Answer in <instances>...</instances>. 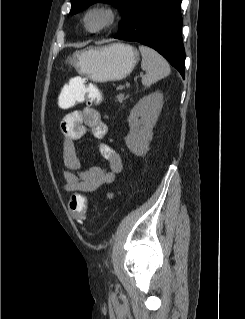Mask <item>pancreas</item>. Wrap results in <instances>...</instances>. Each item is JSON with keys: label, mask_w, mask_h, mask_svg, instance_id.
I'll return each instance as SVG.
<instances>
[{"label": "pancreas", "mask_w": 245, "mask_h": 319, "mask_svg": "<svg viewBox=\"0 0 245 319\" xmlns=\"http://www.w3.org/2000/svg\"><path fill=\"white\" fill-rule=\"evenodd\" d=\"M116 99H117L116 101L122 102L124 100V95H121V94L117 95Z\"/></svg>", "instance_id": "pancreas-1"}]
</instances>
